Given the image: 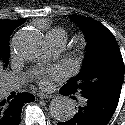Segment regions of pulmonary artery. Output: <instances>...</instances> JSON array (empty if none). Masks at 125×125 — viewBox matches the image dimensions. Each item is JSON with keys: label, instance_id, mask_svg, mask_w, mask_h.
<instances>
[{"label": "pulmonary artery", "instance_id": "1", "mask_svg": "<svg viewBox=\"0 0 125 125\" xmlns=\"http://www.w3.org/2000/svg\"><path fill=\"white\" fill-rule=\"evenodd\" d=\"M46 41L48 45V53L50 55H56L60 53L66 44V37L60 33H47ZM25 82L24 77H16L5 84V90L11 91L15 88H18ZM85 101L82 99L80 104L84 105Z\"/></svg>", "mask_w": 125, "mask_h": 125}]
</instances>
